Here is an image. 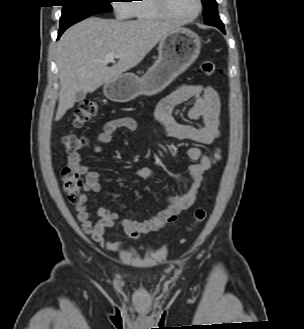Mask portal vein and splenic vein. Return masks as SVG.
<instances>
[{
  "label": "portal vein and splenic vein",
  "mask_w": 304,
  "mask_h": 329,
  "mask_svg": "<svg viewBox=\"0 0 304 329\" xmlns=\"http://www.w3.org/2000/svg\"><path fill=\"white\" fill-rule=\"evenodd\" d=\"M115 58H119V55H116L114 53L108 54L105 59H104V63H114L115 62Z\"/></svg>",
  "instance_id": "portal-vein-and-splenic-vein-1"
}]
</instances>
